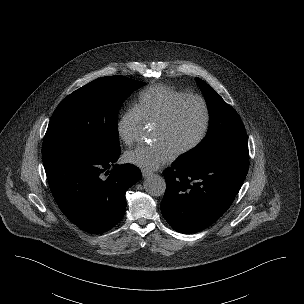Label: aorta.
<instances>
[{
	"instance_id": "aorta-1",
	"label": "aorta",
	"mask_w": 304,
	"mask_h": 304,
	"mask_svg": "<svg viewBox=\"0 0 304 304\" xmlns=\"http://www.w3.org/2000/svg\"><path fill=\"white\" fill-rule=\"evenodd\" d=\"M144 189L151 196H161L165 193L166 182L163 177L154 174L145 179Z\"/></svg>"
}]
</instances>
